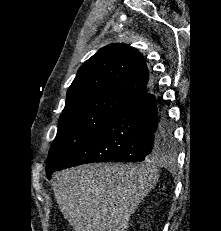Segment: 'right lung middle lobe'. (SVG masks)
Masks as SVG:
<instances>
[{
  "instance_id": "dd1d6c3e",
  "label": "right lung middle lobe",
  "mask_w": 221,
  "mask_h": 231,
  "mask_svg": "<svg viewBox=\"0 0 221 231\" xmlns=\"http://www.w3.org/2000/svg\"><path fill=\"white\" fill-rule=\"evenodd\" d=\"M129 102L115 96H95L65 107L59 118L57 136L49 150L46 173L60 166Z\"/></svg>"
}]
</instances>
